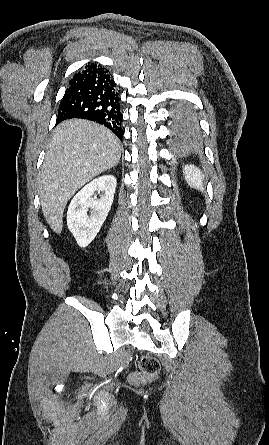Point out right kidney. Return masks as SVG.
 <instances>
[{"label": "right kidney", "instance_id": "1", "mask_svg": "<svg viewBox=\"0 0 269 445\" xmlns=\"http://www.w3.org/2000/svg\"><path fill=\"white\" fill-rule=\"evenodd\" d=\"M116 178L104 175L84 186L72 199L67 211V225L80 247L88 246L98 234L110 211ZM95 192L100 197L93 196ZM92 212L88 215V209Z\"/></svg>", "mask_w": 269, "mask_h": 445}]
</instances>
